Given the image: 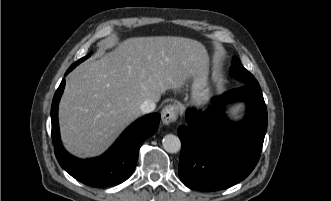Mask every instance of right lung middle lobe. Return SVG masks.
I'll list each match as a JSON object with an SVG mask.
<instances>
[{"label": "right lung middle lobe", "mask_w": 331, "mask_h": 201, "mask_svg": "<svg viewBox=\"0 0 331 201\" xmlns=\"http://www.w3.org/2000/svg\"><path fill=\"white\" fill-rule=\"evenodd\" d=\"M91 54L81 58L80 60H78L77 62H75L71 67L70 69H73L75 66H77L80 62L84 61L85 59H87Z\"/></svg>", "instance_id": "right-lung-middle-lobe-1"}]
</instances>
